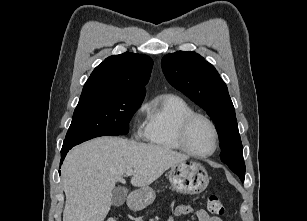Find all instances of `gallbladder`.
<instances>
[{"instance_id":"gallbladder-1","label":"gallbladder","mask_w":307,"mask_h":221,"mask_svg":"<svg viewBox=\"0 0 307 221\" xmlns=\"http://www.w3.org/2000/svg\"><path fill=\"white\" fill-rule=\"evenodd\" d=\"M127 193L128 191L124 187L114 189L112 192V204L117 207L121 206L126 200Z\"/></svg>"}]
</instances>
